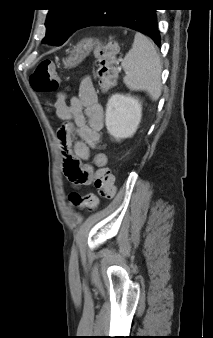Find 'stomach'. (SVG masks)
<instances>
[{"label":"stomach","mask_w":213,"mask_h":338,"mask_svg":"<svg viewBox=\"0 0 213 338\" xmlns=\"http://www.w3.org/2000/svg\"><path fill=\"white\" fill-rule=\"evenodd\" d=\"M93 41L91 39L84 40L77 44L71 51L70 55L63 61L66 68H73L80 64L91 52Z\"/></svg>","instance_id":"stomach-1"}]
</instances>
